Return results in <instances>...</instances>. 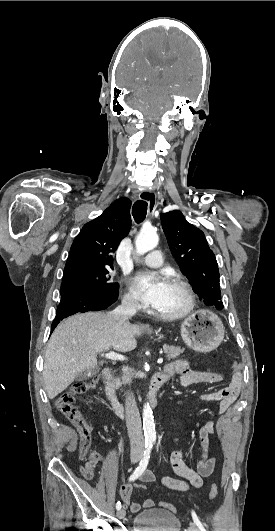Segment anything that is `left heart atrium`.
<instances>
[{"label":"left heart atrium","instance_id":"39dd6f15","mask_svg":"<svg viewBox=\"0 0 275 531\" xmlns=\"http://www.w3.org/2000/svg\"><path fill=\"white\" fill-rule=\"evenodd\" d=\"M168 282L163 272H142L135 276L133 289L146 304L156 307L161 301Z\"/></svg>","mask_w":275,"mask_h":531}]
</instances>
